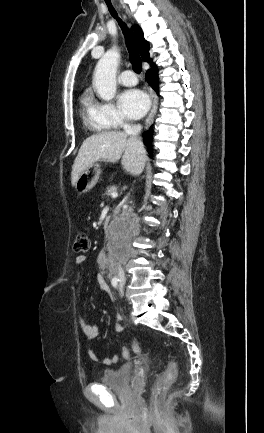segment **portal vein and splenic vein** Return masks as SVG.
I'll return each instance as SVG.
<instances>
[{"instance_id":"18ae733b","label":"portal vein and splenic vein","mask_w":264,"mask_h":433,"mask_svg":"<svg viewBox=\"0 0 264 433\" xmlns=\"http://www.w3.org/2000/svg\"><path fill=\"white\" fill-rule=\"evenodd\" d=\"M111 195H112L113 198L118 197V193L117 192H113Z\"/></svg>"}]
</instances>
